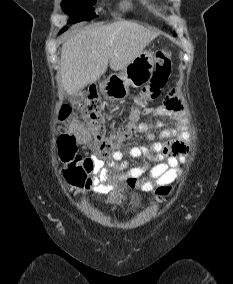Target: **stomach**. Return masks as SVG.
<instances>
[{
  "mask_svg": "<svg viewBox=\"0 0 233 284\" xmlns=\"http://www.w3.org/2000/svg\"><path fill=\"white\" fill-rule=\"evenodd\" d=\"M154 58L152 51H143L119 74L110 75L101 85L102 93L109 99L122 100L129 94V87H141L153 73Z\"/></svg>",
  "mask_w": 233,
  "mask_h": 284,
  "instance_id": "obj_1",
  "label": "stomach"
}]
</instances>
